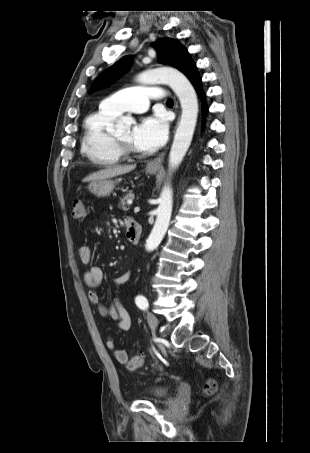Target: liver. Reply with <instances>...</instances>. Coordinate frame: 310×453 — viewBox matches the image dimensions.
<instances>
[{"mask_svg":"<svg viewBox=\"0 0 310 453\" xmlns=\"http://www.w3.org/2000/svg\"><path fill=\"white\" fill-rule=\"evenodd\" d=\"M136 165H125V166H112L107 167L105 169L99 170L98 172H94L83 179V182H90V181H97L112 178L115 176H119L122 174L129 173L130 171L134 170Z\"/></svg>","mask_w":310,"mask_h":453,"instance_id":"liver-1","label":"liver"}]
</instances>
